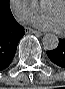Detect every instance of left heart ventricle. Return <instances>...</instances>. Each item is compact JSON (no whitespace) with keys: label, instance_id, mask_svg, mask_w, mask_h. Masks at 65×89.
<instances>
[{"label":"left heart ventricle","instance_id":"obj_1","mask_svg":"<svg viewBox=\"0 0 65 89\" xmlns=\"http://www.w3.org/2000/svg\"><path fill=\"white\" fill-rule=\"evenodd\" d=\"M45 10L49 15L57 16L65 25V7L61 3H50Z\"/></svg>","mask_w":65,"mask_h":89}]
</instances>
